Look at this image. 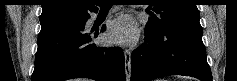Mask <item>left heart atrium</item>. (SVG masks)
<instances>
[{
	"label": "left heart atrium",
	"mask_w": 237,
	"mask_h": 81,
	"mask_svg": "<svg viewBox=\"0 0 237 81\" xmlns=\"http://www.w3.org/2000/svg\"><path fill=\"white\" fill-rule=\"evenodd\" d=\"M137 27L129 16H120L109 23L106 38L112 43H130L137 37Z\"/></svg>",
	"instance_id": "39dd6f15"
}]
</instances>
